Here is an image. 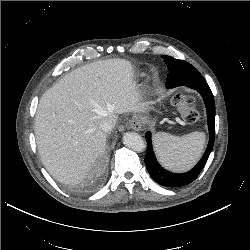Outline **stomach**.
Segmentation results:
<instances>
[{
	"label": "stomach",
	"instance_id": "1",
	"mask_svg": "<svg viewBox=\"0 0 250 250\" xmlns=\"http://www.w3.org/2000/svg\"><path fill=\"white\" fill-rule=\"evenodd\" d=\"M151 109L150 103H145L142 105V110L139 112V117L142 118Z\"/></svg>",
	"mask_w": 250,
	"mask_h": 250
}]
</instances>
